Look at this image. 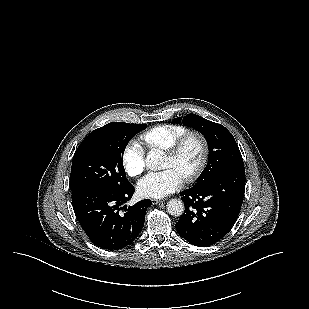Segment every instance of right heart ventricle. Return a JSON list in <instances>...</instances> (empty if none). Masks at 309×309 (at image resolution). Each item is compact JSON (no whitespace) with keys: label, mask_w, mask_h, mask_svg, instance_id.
Here are the masks:
<instances>
[{"label":"right heart ventricle","mask_w":309,"mask_h":309,"mask_svg":"<svg viewBox=\"0 0 309 309\" xmlns=\"http://www.w3.org/2000/svg\"><path fill=\"white\" fill-rule=\"evenodd\" d=\"M188 128L178 124L154 126L140 135V139L150 150H167Z\"/></svg>","instance_id":"e07e8e85"}]
</instances>
